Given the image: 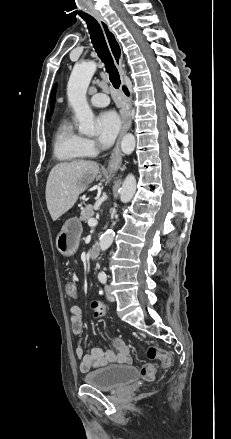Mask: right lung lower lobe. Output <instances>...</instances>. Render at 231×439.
<instances>
[{
	"mask_svg": "<svg viewBox=\"0 0 231 439\" xmlns=\"http://www.w3.org/2000/svg\"><path fill=\"white\" fill-rule=\"evenodd\" d=\"M123 91L125 92L126 95H129V92L126 87H123Z\"/></svg>",
	"mask_w": 231,
	"mask_h": 439,
	"instance_id": "right-lung-lower-lobe-1",
	"label": "right lung lower lobe"
}]
</instances>
